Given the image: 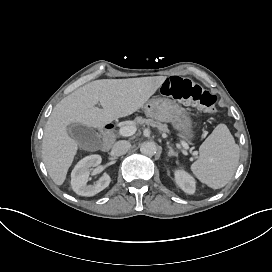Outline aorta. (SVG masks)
<instances>
[{
    "instance_id": "aorta-1",
    "label": "aorta",
    "mask_w": 272,
    "mask_h": 272,
    "mask_svg": "<svg viewBox=\"0 0 272 272\" xmlns=\"http://www.w3.org/2000/svg\"><path fill=\"white\" fill-rule=\"evenodd\" d=\"M140 151L145 156H154L157 152V146L153 142H144L141 145Z\"/></svg>"
}]
</instances>
